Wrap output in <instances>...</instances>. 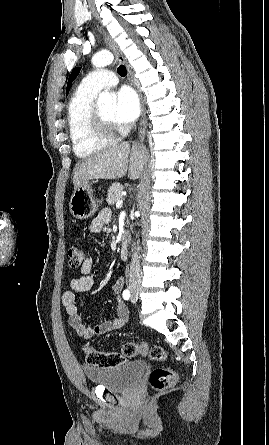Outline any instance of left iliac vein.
I'll list each match as a JSON object with an SVG mask.
<instances>
[{
	"mask_svg": "<svg viewBox=\"0 0 269 445\" xmlns=\"http://www.w3.org/2000/svg\"><path fill=\"white\" fill-rule=\"evenodd\" d=\"M137 301V295L132 294L131 302L135 303Z\"/></svg>",
	"mask_w": 269,
	"mask_h": 445,
	"instance_id": "4c4485c4",
	"label": "left iliac vein"
}]
</instances>
